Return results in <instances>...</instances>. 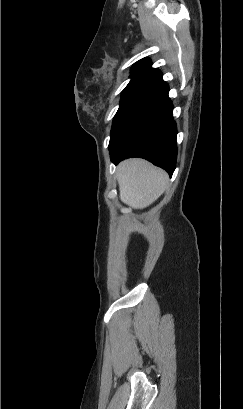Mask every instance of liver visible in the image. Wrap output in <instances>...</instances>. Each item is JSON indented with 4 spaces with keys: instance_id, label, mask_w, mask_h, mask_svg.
I'll list each match as a JSON object with an SVG mask.
<instances>
[{
    "instance_id": "liver-1",
    "label": "liver",
    "mask_w": 243,
    "mask_h": 409,
    "mask_svg": "<svg viewBox=\"0 0 243 409\" xmlns=\"http://www.w3.org/2000/svg\"><path fill=\"white\" fill-rule=\"evenodd\" d=\"M117 180L121 201L133 209H143L164 192L168 174L146 160L131 158L118 165Z\"/></svg>"
}]
</instances>
